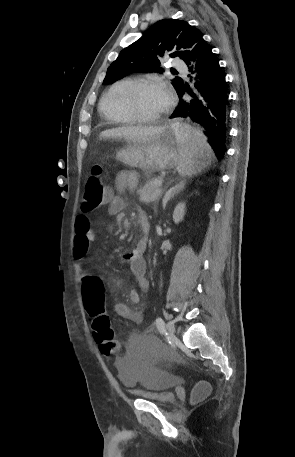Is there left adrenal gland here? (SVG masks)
<instances>
[{"label": "left adrenal gland", "instance_id": "1", "mask_svg": "<svg viewBox=\"0 0 295 457\" xmlns=\"http://www.w3.org/2000/svg\"><path fill=\"white\" fill-rule=\"evenodd\" d=\"M184 187H185V182L184 181H180L174 187H172L168 191H166V193L164 195V198L162 200L163 208L166 207V204L170 199H172L175 195H177L181 191H183Z\"/></svg>", "mask_w": 295, "mask_h": 457}]
</instances>
